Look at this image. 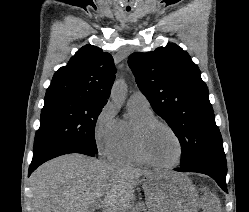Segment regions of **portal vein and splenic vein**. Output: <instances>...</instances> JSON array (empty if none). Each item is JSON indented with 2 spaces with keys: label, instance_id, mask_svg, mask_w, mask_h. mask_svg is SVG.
<instances>
[{
  "label": "portal vein and splenic vein",
  "instance_id": "18ae733b",
  "mask_svg": "<svg viewBox=\"0 0 249 212\" xmlns=\"http://www.w3.org/2000/svg\"><path fill=\"white\" fill-rule=\"evenodd\" d=\"M99 206H101V202H96L95 208H99Z\"/></svg>",
  "mask_w": 249,
  "mask_h": 212
}]
</instances>
